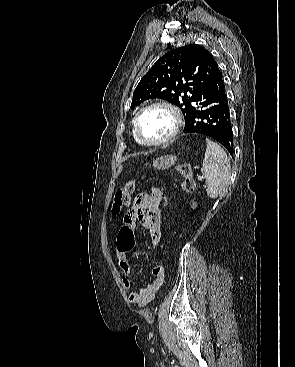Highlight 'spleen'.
Masks as SVG:
<instances>
[{
	"mask_svg": "<svg viewBox=\"0 0 295 367\" xmlns=\"http://www.w3.org/2000/svg\"><path fill=\"white\" fill-rule=\"evenodd\" d=\"M206 152L201 168L206 178V192L210 198L224 194L230 181V160L217 143L206 139Z\"/></svg>",
	"mask_w": 295,
	"mask_h": 367,
	"instance_id": "obj_1",
	"label": "spleen"
}]
</instances>
